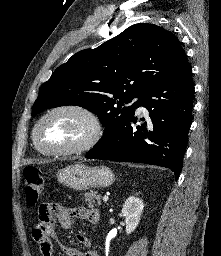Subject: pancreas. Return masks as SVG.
Listing matches in <instances>:
<instances>
[{"label": "pancreas", "mask_w": 221, "mask_h": 256, "mask_svg": "<svg viewBox=\"0 0 221 256\" xmlns=\"http://www.w3.org/2000/svg\"><path fill=\"white\" fill-rule=\"evenodd\" d=\"M83 201L88 204L89 207L100 206L101 196L96 191H90L85 193Z\"/></svg>", "instance_id": "cf45deb5"}]
</instances>
